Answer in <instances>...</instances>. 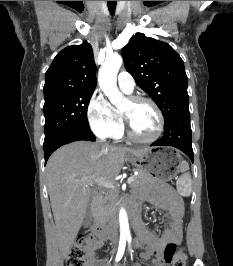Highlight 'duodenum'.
I'll return each mask as SVG.
<instances>
[{"label": "duodenum", "instance_id": "410a0bca", "mask_svg": "<svg viewBox=\"0 0 233 266\" xmlns=\"http://www.w3.org/2000/svg\"><path fill=\"white\" fill-rule=\"evenodd\" d=\"M99 195L98 191L94 192L93 201H92V212H93V221L90 226L91 233L98 237L100 240L105 242L109 241L113 237V230L106 224L100 223L98 221V203H99ZM128 213L137 218L138 209L136 205L130 204L128 206Z\"/></svg>", "mask_w": 233, "mask_h": 266}]
</instances>
